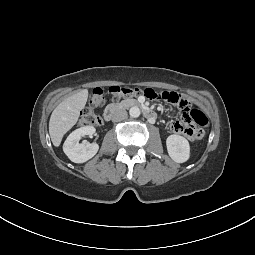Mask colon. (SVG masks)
Returning a JSON list of instances; mask_svg holds the SVG:
<instances>
[{
    "label": "colon",
    "mask_w": 255,
    "mask_h": 255,
    "mask_svg": "<svg viewBox=\"0 0 255 255\" xmlns=\"http://www.w3.org/2000/svg\"><path fill=\"white\" fill-rule=\"evenodd\" d=\"M109 93L114 98H120L122 96H132L143 93L149 99L162 98L170 103H178L180 106H184L183 114L186 122L181 128L183 133L191 142H198L202 140L204 136L203 128L208 124V117L204 112L198 109H191V99H186V96H180V93L171 92H157L151 88L141 90L137 87H123V86H112L109 88ZM104 100L103 91L100 88L93 90L90 105L81 114L79 125L81 127L98 126L101 123L99 115L94 111L95 108L102 105Z\"/></svg>",
    "instance_id": "5ec220e1"
}]
</instances>
